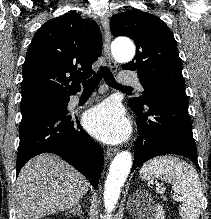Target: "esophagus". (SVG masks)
I'll list each match as a JSON object with an SVG mask.
<instances>
[{
    "label": "esophagus",
    "instance_id": "34e87169",
    "mask_svg": "<svg viewBox=\"0 0 211 219\" xmlns=\"http://www.w3.org/2000/svg\"><path fill=\"white\" fill-rule=\"evenodd\" d=\"M101 24L104 30V51L106 59L109 63L111 69H115L117 67L116 61L111 56L110 44H111V33L109 29V19L106 16L101 18ZM118 152L117 148H108L106 151V158L109 159L114 156Z\"/></svg>",
    "mask_w": 211,
    "mask_h": 219
}]
</instances>
